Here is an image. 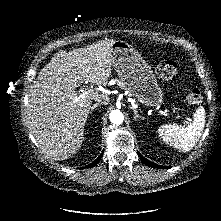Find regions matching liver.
<instances>
[{
    "label": "liver",
    "mask_w": 221,
    "mask_h": 221,
    "mask_svg": "<svg viewBox=\"0 0 221 221\" xmlns=\"http://www.w3.org/2000/svg\"><path fill=\"white\" fill-rule=\"evenodd\" d=\"M113 39L74 49L60 50L39 72L31 86L28 119L40 148L53 160L68 159L81 147L93 92L75 102V90L84 81L106 85L111 75Z\"/></svg>",
    "instance_id": "obj_1"
}]
</instances>
